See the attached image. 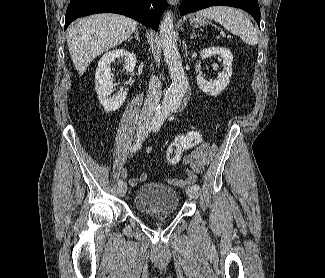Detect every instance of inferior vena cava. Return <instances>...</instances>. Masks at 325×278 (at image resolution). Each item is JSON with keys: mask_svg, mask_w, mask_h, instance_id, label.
Returning <instances> with one entry per match:
<instances>
[{"mask_svg": "<svg viewBox=\"0 0 325 278\" xmlns=\"http://www.w3.org/2000/svg\"><path fill=\"white\" fill-rule=\"evenodd\" d=\"M162 93L160 80L152 76L149 81L148 95L144 101V105L139 117V123H149L154 115V112L159 104Z\"/></svg>", "mask_w": 325, "mask_h": 278, "instance_id": "obj_1", "label": "inferior vena cava"}]
</instances>
